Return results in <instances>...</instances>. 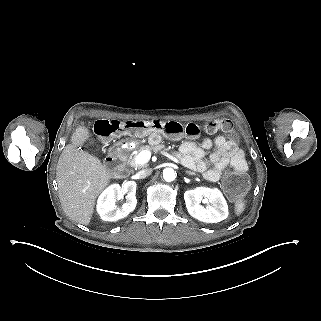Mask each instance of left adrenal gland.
Here are the masks:
<instances>
[{
	"label": "left adrenal gland",
	"instance_id": "obj_1",
	"mask_svg": "<svg viewBox=\"0 0 321 321\" xmlns=\"http://www.w3.org/2000/svg\"><path fill=\"white\" fill-rule=\"evenodd\" d=\"M187 174L189 175H194L195 173L194 172H191V171H186Z\"/></svg>",
	"mask_w": 321,
	"mask_h": 321
}]
</instances>
